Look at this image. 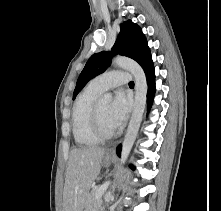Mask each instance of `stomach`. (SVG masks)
<instances>
[{"label": "stomach", "instance_id": "obj_1", "mask_svg": "<svg viewBox=\"0 0 221 211\" xmlns=\"http://www.w3.org/2000/svg\"><path fill=\"white\" fill-rule=\"evenodd\" d=\"M113 160H114V157L111 156V155H109V154H107V155L104 157V159H103V165L106 166V167H108V166L111 165V163L113 162Z\"/></svg>", "mask_w": 221, "mask_h": 211}]
</instances>
